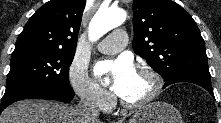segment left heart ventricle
Instances as JSON below:
<instances>
[{"mask_svg":"<svg viewBox=\"0 0 221 123\" xmlns=\"http://www.w3.org/2000/svg\"><path fill=\"white\" fill-rule=\"evenodd\" d=\"M152 87L151 78L136 71L119 96L127 102L136 103L146 98Z\"/></svg>","mask_w":221,"mask_h":123,"instance_id":"b2bd125f","label":"left heart ventricle"}]
</instances>
